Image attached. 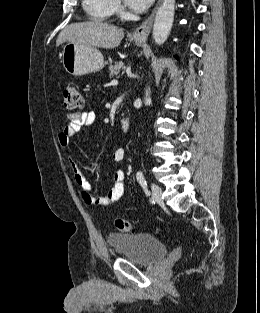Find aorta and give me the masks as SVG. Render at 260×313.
Segmentation results:
<instances>
[{"mask_svg":"<svg viewBox=\"0 0 260 313\" xmlns=\"http://www.w3.org/2000/svg\"><path fill=\"white\" fill-rule=\"evenodd\" d=\"M175 0H163L156 13L153 26V39L157 45H162L168 38L174 20ZM150 88L145 91L144 102L147 105Z\"/></svg>","mask_w":260,"mask_h":313,"instance_id":"aorta-1","label":"aorta"}]
</instances>
